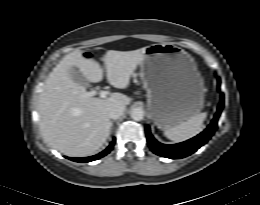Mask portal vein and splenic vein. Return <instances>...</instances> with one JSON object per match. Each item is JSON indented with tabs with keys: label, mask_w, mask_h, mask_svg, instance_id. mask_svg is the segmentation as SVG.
I'll list each match as a JSON object with an SVG mask.
<instances>
[{
	"label": "portal vein and splenic vein",
	"mask_w": 260,
	"mask_h": 205,
	"mask_svg": "<svg viewBox=\"0 0 260 205\" xmlns=\"http://www.w3.org/2000/svg\"><path fill=\"white\" fill-rule=\"evenodd\" d=\"M96 94H99L101 98H106L107 95H108V92L105 91V90H101L99 92H96V91H90V92H86L85 93V97H93L95 96Z\"/></svg>",
	"instance_id": "1"
}]
</instances>
